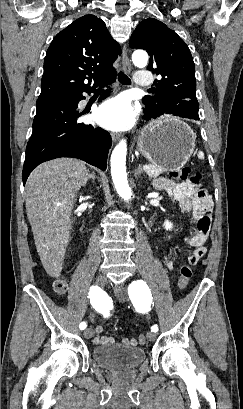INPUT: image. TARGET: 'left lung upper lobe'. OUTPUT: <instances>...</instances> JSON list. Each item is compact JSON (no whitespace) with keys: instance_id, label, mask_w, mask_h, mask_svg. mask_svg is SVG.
<instances>
[{"instance_id":"5c2ea615","label":"left lung upper lobe","mask_w":243,"mask_h":409,"mask_svg":"<svg viewBox=\"0 0 243 409\" xmlns=\"http://www.w3.org/2000/svg\"><path fill=\"white\" fill-rule=\"evenodd\" d=\"M129 45L146 50L151 59L147 69L161 76L152 95L142 101L146 110L164 114L178 105L199 109L196 99L195 65L186 43L164 23L148 18L138 24Z\"/></svg>"}]
</instances>
